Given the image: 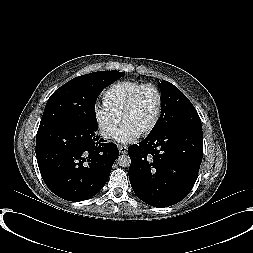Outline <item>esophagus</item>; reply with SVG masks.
Returning <instances> with one entry per match:
<instances>
[{
  "label": "esophagus",
  "mask_w": 253,
  "mask_h": 253,
  "mask_svg": "<svg viewBox=\"0 0 253 253\" xmlns=\"http://www.w3.org/2000/svg\"><path fill=\"white\" fill-rule=\"evenodd\" d=\"M118 149H119L121 154H125L128 150V147L125 146V145H118Z\"/></svg>",
  "instance_id": "34e87169"
}]
</instances>
